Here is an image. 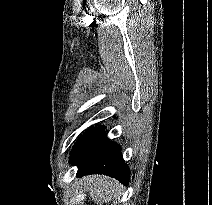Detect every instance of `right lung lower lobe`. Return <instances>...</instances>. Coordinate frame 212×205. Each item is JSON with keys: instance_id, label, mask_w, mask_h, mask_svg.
Segmentation results:
<instances>
[{"instance_id": "1", "label": "right lung lower lobe", "mask_w": 212, "mask_h": 205, "mask_svg": "<svg viewBox=\"0 0 212 205\" xmlns=\"http://www.w3.org/2000/svg\"><path fill=\"white\" fill-rule=\"evenodd\" d=\"M120 150L116 142L106 137L104 126L90 127L74 144L70 162L78 166L79 177L103 173L127 185L130 171Z\"/></svg>"}]
</instances>
